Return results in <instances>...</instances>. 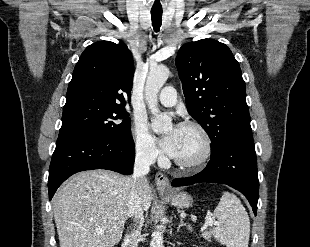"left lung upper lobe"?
I'll return each instance as SVG.
<instances>
[{
  "label": "left lung upper lobe",
  "instance_id": "left-lung-upper-lobe-1",
  "mask_svg": "<svg viewBox=\"0 0 310 247\" xmlns=\"http://www.w3.org/2000/svg\"><path fill=\"white\" fill-rule=\"evenodd\" d=\"M175 62L188 112L209 135L211 152L252 135L245 82L225 44L213 39L186 43Z\"/></svg>",
  "mask_w": 310,
  "mask_h": 247
}]
</instances>
